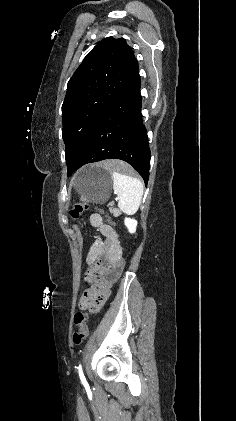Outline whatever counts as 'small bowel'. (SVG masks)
Returning <instances> with one entry per match:
<instances>
[{"label": "small bowel", "mask_w": 236, "mask_h": 421, "mask_svg": "<svg viewBox=\"0 0 236 421\" xmlns=\"http://www.w3.org/2000/svg\"><path fill=\"white\" fill-rule=\"evenodd\" d=\"M90 223L91 225L96 229L97 233L103 237L106 238V243L104 245H112L113 247L117 248L120 250V245L118 242V238H117V234L114 231V229L112 227H110L109 225L105 224L102 220V217L97 214V213H93L90 216ZM96 248L97 246H94L88 255V261L89 262H93L95 255H96ZM87 298L85 300V304L87 303Z\"/></svg>", "instance_id": "small-bowel-1"}]
</instances>
